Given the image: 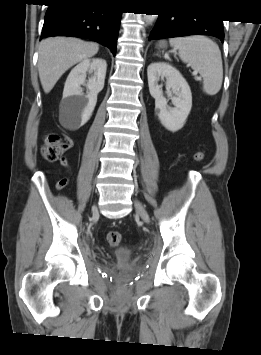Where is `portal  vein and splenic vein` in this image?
Segmentation results:
<instances>
[{
	"label": "portal vein and splenic vein",
	"mask_w": 261,
	"mask_h": 355,
	"mask_svg": "<svg viewBox=\"0 0 261 355\" xmlns=\"http://www.w3.org/2000/svg\"><path fill=\"white\" fill-rule=\"evenodd\" d=\"M192 74H193L194 76H196V79H197V80H201V78L197 76V72H196V71H194Z\"/></svg>",
	"instance_id": "portal-vein-and-splenic-vein-1"
}]
</instances>
